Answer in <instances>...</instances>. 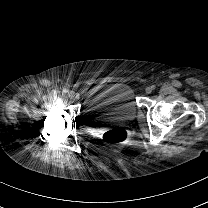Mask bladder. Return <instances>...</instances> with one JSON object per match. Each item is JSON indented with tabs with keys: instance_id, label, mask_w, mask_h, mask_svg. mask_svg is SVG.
I'll return each instance as SVG.
<instances>
[{
	"instance_id": "1",
	"label": "bladder",
	"mask_w": 208,
	"mask_h": 208,
	"mask_svg": "<svg viewBox=\"0 0 208 208\" xmlns=\"http://www.w3.org/2000/svg\"><path fill=\"white\" fill-rule=\"evenodd\" d=\"M91 108L87 117L90 120L102 121L112 117H132L135 114L134 95L129 86L110 84L97 86L88 91Z\"/></svg>"
}]
</instances>
